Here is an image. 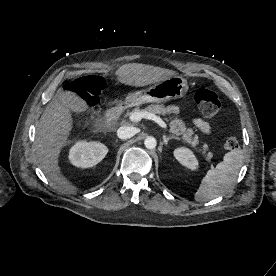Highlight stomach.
Returning <instances> with one entry per match:
<instances>
[{
	"label": "stomach",
	"instance_id": "obj_1",
	"mask_svg": "<svg viewBox=\"0 0 276 276\" xmlns=\"http://www.w3.org/2000/svg\"><path fill=\"white\" fill-rule=\"evenodd\" d=\"M187 80L182 76H171L163 79L145 90L129 93L124 103L130 106H139L145 103H161L179 99L188 92Z\"/></svg>",
	"mask_w": 276,
	"mask_h": 276
}]
</instances>
